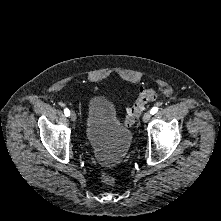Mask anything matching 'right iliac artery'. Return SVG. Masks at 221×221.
<instances>
[{
  "instance_id": "1",
  "label": "right iliac artery",
  "mask_w": 221,
  "mask_h": 221,
  "mask_svg": "<svg viewBox=\"0 0 221 221\" xmlns=\"http://www.w3.org/2000/svg\"><path fill=\"white\" fill-rule=\"evenodd\" d=\"M65 116L68 117L70 115V111L68 108L64 109Z\"/></svg>"
}]
</instances>
